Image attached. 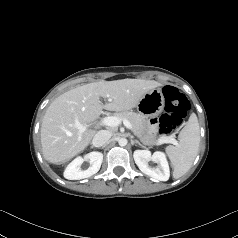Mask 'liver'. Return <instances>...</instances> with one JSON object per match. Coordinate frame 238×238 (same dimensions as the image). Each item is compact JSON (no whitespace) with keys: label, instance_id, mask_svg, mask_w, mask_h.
Masks as SVG:
<instances>
[{"label":"liver","instance_id":"6515ba94","mask_svg":"<svg viewBox=\"0 0 238 238\" xmlns=\"http://www.w3.org/2000/svg\"><path fill=\"white\" fill-rule=\"evenodd\" d=\"M159 86L161 84L154 80L127 78L89 83L61 94L43 117L40 132L44 158L53 164L71 160L96 134L92 129L80 133L76 122L83 125L93 122L103 109L128 111L136 107L146 93ZM100 97L108 102L103 104Z\"/></svg>","mask_w":238,"mask_h":238}]
</instances>
